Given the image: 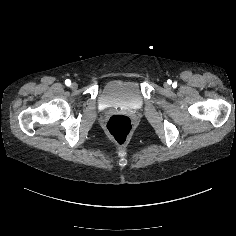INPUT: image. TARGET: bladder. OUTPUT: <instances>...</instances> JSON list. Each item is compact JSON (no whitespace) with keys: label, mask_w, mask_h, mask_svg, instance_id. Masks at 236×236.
Listing matches in <instances>:
<instances>
[{"label":"bladder","mask_w":236,"mask_h":236,"mask_svg":"<svg viewBox=\"0 0 236 236\" xmlns=\"http://www.w3.org/2000/svg\"><path fill=\"white\" fill-rule=\"evenodd\" d=\"M102 99L108 106L136 109L143 104L142 91L134 81L115 80L104 85Z\"/></svg>","instance_id":"bladder-1"}]
</instances>
